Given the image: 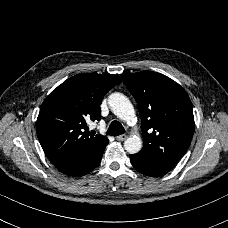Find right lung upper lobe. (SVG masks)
Returning <instances> with one entry per match:
<instances>
[{
	"mask_svg": "<svg viewBox=\"0 0 228 228\" xmlns=\"http://www.w3.org/2000/svg\"><path fill=\"white\" fill-rule=\"evenodd\" d=\"M121 79L117 75H75L44 100L36 122L39 142L53 164L75 161L108 140L92 136L86 120H100L103 96Z\"/></svg>",
	"mask_w": 228,
	"mask_h": 228,
	"instance_id": "1",
	"label": "right lung upper lobe"
}]
</instances>
